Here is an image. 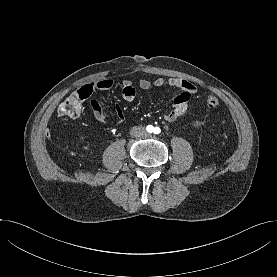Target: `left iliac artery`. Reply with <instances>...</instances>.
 Segmentation results:
<instances>
[{"instance_id": "44dca946", "label": "left iliac artery", "mask_w": 277, "mask_h": 277, "mask_svg": "<svg viewBox=\"0 0 277 277\" xmlns=\"http://www.w3.org/2000/svg\"><path fill=\"white\" fill-rule=\"evenodd\" d=\"M161 132V129L159 127L154 128V133L159 134Z\"/></svg>"}]
</instances>
